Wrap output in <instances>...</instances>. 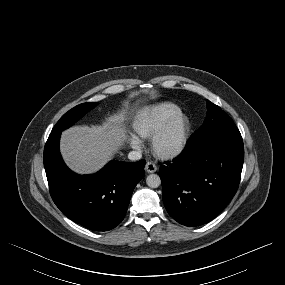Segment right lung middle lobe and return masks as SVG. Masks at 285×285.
Here are the masks:
<instances>
[{"mask_svg":"<svg viewBox=\"0 0 285 285\" xmlns=\"http://www.w3.org/2000/svg\"><path fill=\"white\" fill-rule=\"evenodd\" d=\"M96 105L97 103L89 102V103L80 104L72 108L60 118V120L57 122V124L52 129V131H62L66 128H69L77 120H79L83 115H85L88 111L93 109Z\"/></svg>","mask_w":285,"mask_h":285,"instance_id":"dd1d6c3e","label":"right lung middle lobe"}]
</instances>
